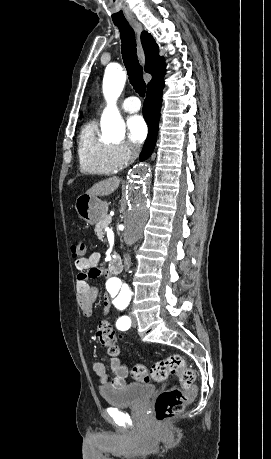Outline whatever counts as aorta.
<instances>
[{"instance_id": "obj_1", "label": "aorta", "mask_w": 271, "mask_h": 459, "mask_svg": "<svg viewBox=\"0 0 271 459\" xmlns=\"http://www.w3.org/2000/svg\"><path fill=\"white\" fill-rule=\"evenodd\" d=\"M126 81V74L121 69L108 68L103 79V94L107 107L101 117L102 134L110 140H121L125 134V125L116 107ZM151 169L147 164H137L129 172L120 200V213L123 223L124 242L131 246L143 236L145 226L151 214ZM108 291L115 293L127 286L116 276L106 281Z\"/></svg>"}]
</instances>
